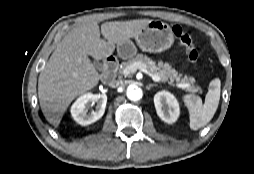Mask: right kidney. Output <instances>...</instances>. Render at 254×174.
Instances as JSON below:
<instances>
[{"label":"right kidney","mask_w":254,"mask_h":174,"mask_svg":"<svg viewBox=\"0 0 254 174\" xmlns=\"http://www.w3.org/2000/svg\"><path fill=\"white\" fill-rule=\"evenodd\" d=\"M93 103H97L96 109L88 113V107ZM106 103L107 96L105 94L85 93L72 105L71 115L73 119L82 126L92 124L103 116Z\"/></svg>","instance_id":"obj_1"}]
</instances>
